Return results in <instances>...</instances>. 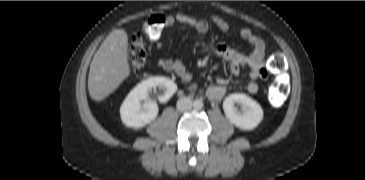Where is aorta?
I'll return each instance as SVG.
<instances>
[{
	"mask_svg": "<svg viewBox=\"0 0 365 180\" xmlns=\"http://www.w3.org/2000/svg\"><path fill=\"white\" fill-rule=\"evenodd\" d=\"M193 107L195 109H197V110L202 109L203 108V102H202V100H199V99L194 100Z\"/></svg>",
	"mask_w": 365,
	"mask_h": 180,
	"instance_id": "1",
	"label": "aorta"
}]
</instances>
